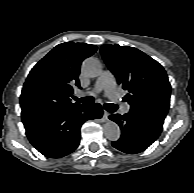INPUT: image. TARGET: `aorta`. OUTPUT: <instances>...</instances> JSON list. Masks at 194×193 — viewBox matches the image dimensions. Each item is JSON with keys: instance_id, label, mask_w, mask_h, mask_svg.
<instances>
[{"instance_id": "aorta-1", "label": "aorta", "mask_w": 194, "mask_h": 193, "mask_svg": "<svg viewBox=\"0 0 194 193\" xmlns=\"http://www.w3.org/2000/svg\"><path fill=\"white\" fill-rule=\"evenodd\" d=\"M82 71L86 76L90 78H95L100 75L102 71V66L97 59L90 57L84 60L82 64ZM103 130L105 137L110 141H116L120 138V128L118 124L111 120H108L104 124Z\"/></svg>"}]
</instances>
